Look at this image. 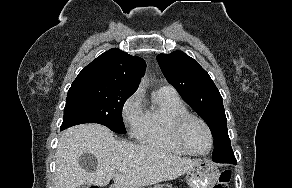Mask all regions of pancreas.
<instances>
[{"label":"pancreas","instance_id":"obj_1","mask_svg":"<svg viewBox=\"0 0 292 188\" xmlns=\"http://www.w3.org/2000/svg\"><path fill=\"white\" fill-rule=\"evenodd\" d=\"M167 186H168V188H171L169 185H167ZM149 188H164V185L157 184V185H154L153 187H149Z\"/></svg>","mask_w":292,"mask_h":188}]
</instances>
